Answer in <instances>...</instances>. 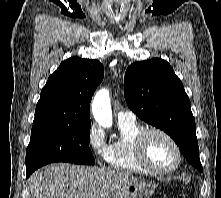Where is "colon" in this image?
Returning <instances> with one entry per match:
<instances>
[{"instance_id":"colon-1","label":"colon","mask_w":221,"mask_h":198,"mask_svg":"<svg viewBox=\"0 0 221 198\" xmlns=\"http://www.w3.org/2000/svg\"><path fill=\"white\" fill-rule=\"evenodd\" d=\"M176 198H186L185 197V195L184 194H179V195H177V197Z\"/></svg>"}]
</instances>
